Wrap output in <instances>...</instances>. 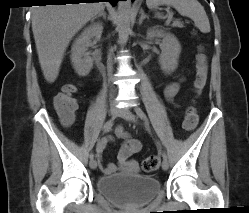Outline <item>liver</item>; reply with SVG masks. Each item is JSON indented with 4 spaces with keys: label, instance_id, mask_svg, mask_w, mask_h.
Returning a JSON list of instances; mask_svg holds the SVG:
<instances>
[{
    "label": "liver",
    "instance_id": "liver-1",
    "mask_svg": "<svg viewBox=\"0 0 249 213\" xmlns=\"http://www.w3.org/2000/svg\"><path fill=\"white\" fill-rule=\"evenodd\" d=\"M103 10L102 2L32 7V31L47 82L53 83L58 77L64 53L74 35Z\"/></svg>",
    "mask_w": 249,
    "mask_h": 213
}]
</instances>
